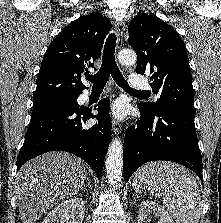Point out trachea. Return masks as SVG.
I'll return each instance as SVG.
<instances>
[{"instance_id": "3493384b", "label": "trachea", "mask_w": 221, "mask_h": 223, "mask_svg": "<svg viewBox=\"0 0 221 223\" xmlns=\"http://www.w3.org/2000/svg\"><path fill=\"white\" fill-rule=\"evenodd\" d=\"M115 46L116 35L112 33L107 38L104 46L100 70L95 75L86 76V79L93 83V88H104L109 76L111 75L116 84L124 90L134 94L148 95L145 91H138L129 87L116 64Z\"/></svg>"}]
</instances>
